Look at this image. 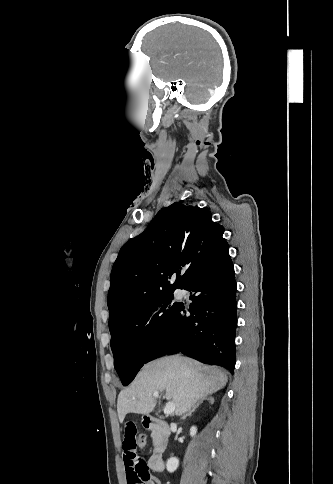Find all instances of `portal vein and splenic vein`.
I'll return each instance as SVG.
<instances>
[{
	"mask_svg": "<svg viewBox=\"0 0 333 484\" xmlns=\"http://www.w3.org/2000/svg\"><path fill=\"white\" fill-rule=\"evenodd\" d=\"M154 397L155 398H159V394L158 393H154ZM164 414L165 415H170L172 413H174L175 411V405L174 403H168L165 407H164Z\"/></svg>",
	"mask_w": 333,
	"mask_h": 484,
	"instance_id": "1",
	"label": "portal vein and splenic vein"
}]
</instances>
